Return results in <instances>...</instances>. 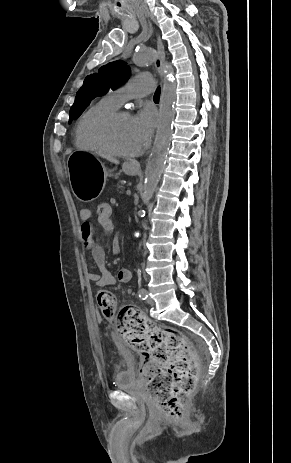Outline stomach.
I'll return each mask as SVG.
<instances>
[{"label":"stomach","instance_id":"obj_1","mask_svg":"<svg viewBox=\"0 0 291 463\" xmlns=\"http://www.w3.org/2000/svg\"><path fill=\"white\" fill-rule=\"evenodd\" d=\"M67 169L72 192L83 202H91L99 196L110 174L95 154L85 151L72 152L67 159ZM122 169L128 175L138 173V168L131 163H125Z\"/></svg>","mask_w":291,"mask_h":463}]
</instances>
